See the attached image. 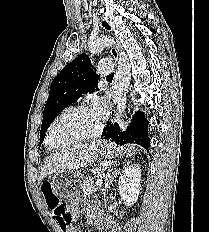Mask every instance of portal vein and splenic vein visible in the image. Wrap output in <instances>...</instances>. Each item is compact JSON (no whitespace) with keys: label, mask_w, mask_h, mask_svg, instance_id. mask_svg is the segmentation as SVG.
I'll return each instance as SVG.
<instances>
[{"label":"portal vein and splenic vein","mask_w":209,"mask_h":232,"mask_svg":"<svg viewBox=\"0 0 209 232\" xmlns=\"http://www.w3.org/2000/svg\"><path fill=\"white\" fill-rule=\"evenodd\" d=\"M104 177H105V174H102V175L100 176V178H99V179L97 180V182H96V186L94 187V190H97L98 187L102 184V181H103Z\"/></svg>","instance_id":"portal-vein-and-splenic-vein-1"}]
</instances>
